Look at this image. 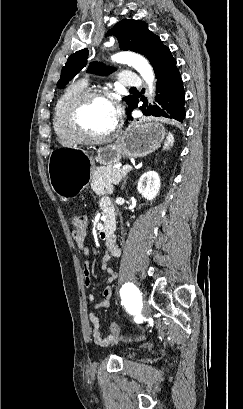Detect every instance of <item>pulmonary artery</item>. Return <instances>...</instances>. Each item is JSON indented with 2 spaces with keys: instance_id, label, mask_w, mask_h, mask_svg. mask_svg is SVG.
Segmentation results:
<instances>
[{
  "instance_id": "e3ab8cb5",
  "label": "pulmonary artery",
  "mask_w": 243,
  "mask_h": 409,
  "mask_svg": "<svg viewBox=\"0 0 243 409\" xmlns=\"http://www.w3.org/2000/svg\"><path fill=\"white\" fill-rule=\"evenodd\" d=\"M119 82L125 87H138L141 85L142 81L139 76L131 71H124L120 74Z\"/></svg>"
}]
</instances>
